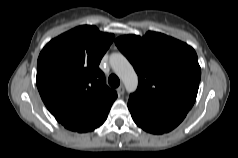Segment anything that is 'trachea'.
<instances>
[{
	"mask_svg": "<svg viewBox=\"0 0 238 158\" xmlns=\"http://www.w3.org/2000/svg\"><path fill=\"white\" fill-rule=\"evenodd\" d=\"M108 82L109 84L112 86V87H118L120 85V80L119 78L114 75V74H111L108 78Z\"/></svg>",
	"mask_w": 238,
	"mask_h": 158,
	"instance_id": "1",
	"label": "trachea"
}]
</instances>
